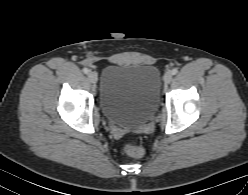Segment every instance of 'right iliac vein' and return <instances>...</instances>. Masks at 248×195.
Listing matches in <instances>:
<instances>
[{"instance_id":"63e3f726","label":"right iliac vein","mask_w":248,"mask_h":195,"mask_svg":"<svg viewBox=\"0 0 248 195\" xmlns=\"http://www.w3.org/2000/svg\"><path fill=\"white\" fill-rule=\"evenodd\" d=\"M88 79L90 80L91 83H96L98 79L97 73L93 71L89 72Z\"/></svg>"}]
</instances>
